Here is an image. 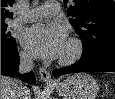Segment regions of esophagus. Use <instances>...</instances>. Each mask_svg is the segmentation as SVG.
Returning <instances> with one entry per match:
<instances>
[{"instance_id": "34e87169", "label": "esophagus", "mask_w": 115, "mask_h": 99, "mask_svg": "<svg viewBox=\"0 0 115 99\" xmlns=\"http://www.w3.org/2000/svg\"><path fill=\"white\" fill-rule=\"evenodd\" d=\"M39 75H40L41 80H43L47 84L54 83V80L51 77V73L47 69H45L43 67L40 68L39 69Z\"/></svg>"}]
</instances>
